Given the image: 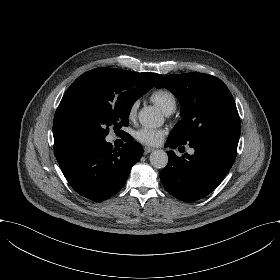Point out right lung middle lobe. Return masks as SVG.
Segmentation results:
<instances>
[{
	"mask_svg": "<svg viewBox=\"0 0 280 280\" xmlns=\"http://www.w3.org/2000/svg\"><path fill=\"white\" fill-rule=\"evenodd\" d=\"M139 97L119 69H93L72 83L56 113L62 126L80 140H104L109 127L129 125L130 110Z\"/></svg>",
	"mask_w": 280,
	"mask_h": 280,
	"instance_id": "right-lung-middle-lobe-1",
	"label": "right lung middle lobe"
}]
</instances>
